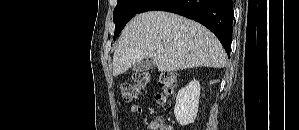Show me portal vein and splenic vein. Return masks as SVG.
Segmentation results:
<instances>
[{
	"label": "portal vein and splenic vein",
	"mask_w": 299,
	"mask_h": 130,
	"mask_svg": "<svg viewBox=\"0 0 299 130\" xmlns=\"http://www.w3.org/2000/svg\"><path fill=\"white\" fill-rule=\"evenodd\" d=\"M164 52V50H159V53H163Z\"/></svg>",
	"instance_id": "obj_1"
}]
</instances>
